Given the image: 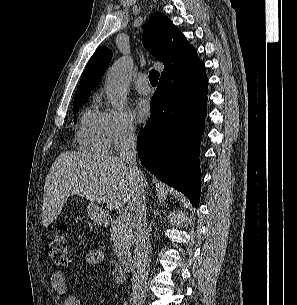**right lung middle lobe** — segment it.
I'll return each mask as SVG.
<instances>
[{"instance_id":"dd1d6c3e","label":"right lung middle lobe","mask_w":297,"mask_h":305,"mask_svg":"<svg viewBox=\"0 0 297 305\" xmlns=\"http://www.w3.org/2000/svg\"><path fill=\"white\" fill-rule=\"evenodd\" d=\"M87 98L88 97L74 101L73 109L77 110L78 108L82 107L85 104ZM74 120H75V118H74Z\"/></svg>"}]
</instances>
